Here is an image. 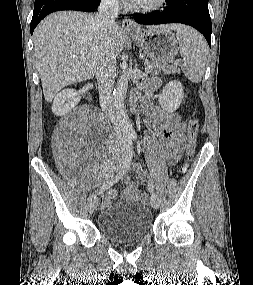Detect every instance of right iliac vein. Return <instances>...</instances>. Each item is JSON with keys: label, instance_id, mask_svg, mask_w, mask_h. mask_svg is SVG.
<instances>
[{"label": "right iliac vein", "instance_id": "1", "mask_svg": "<svg viewBox=\"0 0 253 285\" xmlns=\"http://www.w3.org/2000/svg\"><path fill=\"white\" fill-rule=\"evenodd\" d=\"M97 207V195L92 194L88 199V209L90 212H93Z\"/></svg>", "mask_w": 253, "mask_h": 285}]
</instances>
